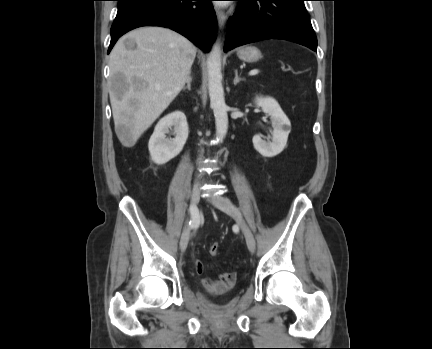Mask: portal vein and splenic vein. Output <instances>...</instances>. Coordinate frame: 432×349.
Returning <instances> with one entry per match:
<instances>
[{"label":"portal vein and splenic vein","mask_w":432,"mask_h":349,"mask_svg":"<svg viewBox=\"0 0 432 349\" xmlns=\"http://www.w3.org/2000/svg\"><path fill=\"white\" fill-rule=\"evenodd\" d=\"M259 73V70L258 69H253V70H251L250 72H249V75H256V74H258Z\"/></svg>","instance_id":"18ae733b"}]
</instances>
